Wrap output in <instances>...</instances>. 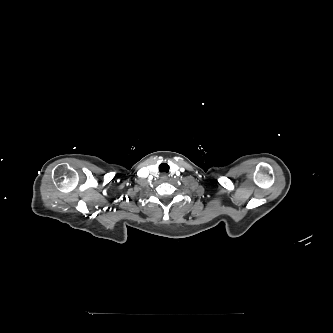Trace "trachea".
<instances>
[{"label":"trachea","mask_w":333,"mask_h":333,"mask_svg":"<svg viewBox=\"0 0 333 333\" xmlns=\"http://www.w3.org/2000/svg\"><path fill=\"white\" fill-rule=\"evenodd\" d=\"M159 171L160 172H166V173H168V171H169V165L167 163H161L159 165Z\"/></svg>","instance_id":"3493384b"}]
</instances>
